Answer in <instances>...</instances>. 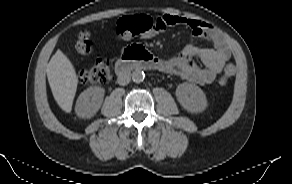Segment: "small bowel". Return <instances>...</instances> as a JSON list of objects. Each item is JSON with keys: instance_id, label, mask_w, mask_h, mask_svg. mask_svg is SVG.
<instances>
[{"instance_id": "1", "label": "small bowel", "mask_w": 292, "mask_h": 184, "mask_svg": "<svg viewBox=\"0 0 292 184\" xmlns=\"http://www.w3.org/2000/svg\"><path fill=\"white\" fill-rule=\"evenodd\" d=\"M155 19L162 31L175 25H184L190 28L194 39L204 38L213 45L211 48H201L193 42L186 45L177 56L164 61L165 71L195 84L212 83L231 57L229 46L219 30L203 21L174 14ZM194 58L200 59L203 66L197 65Z\"/></svg>"}]
</instances>
